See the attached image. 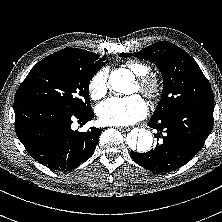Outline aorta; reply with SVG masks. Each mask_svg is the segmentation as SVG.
Returning <instances> with one entry per match:
<instances>
[{"mask_svg": "<svg viewBox=\"0 0 222 222\" xmlns=\"http://www.w3.org/2000/svg\"><path fill=\"white\" fill-rule=\"evenodd\" d=\"M134 75L127 69H118L113 71L108 83L111 89L117 93H133ZM153 143V135L147 129L141 128L133 130L127 136V144L132 151L145 153L149 151Z\"/></svg>", "mask_w": 222, "mask_h": 222, "instance_id": "1", "label": "aorta"}]
</instances>
